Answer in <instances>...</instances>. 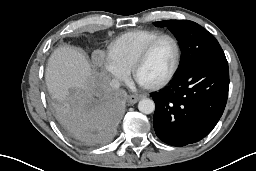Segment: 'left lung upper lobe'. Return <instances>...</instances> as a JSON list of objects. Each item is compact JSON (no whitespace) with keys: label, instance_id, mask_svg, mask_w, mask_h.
Masks as SVG:
<instances>
[{"label":"left lung upper lobe","instance_id":"5c2ea615","mask_svg":"<svg viewBox=\"0 0 256 171\" xmlns=\"http://www.w3.org/2000/svg\"><path fill=\"white\" fill-rule=\"evenodd\" d=\"M157 27L167 26L175 35L182 52L178 72L204 61L226 59L218 41L206 29L189 20L154 22Z\"/></svg>","mask_w":256,"mask_h":171}]
</instances>
